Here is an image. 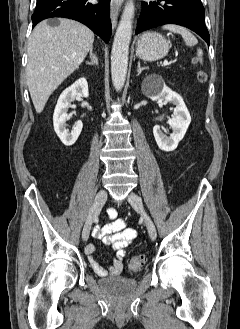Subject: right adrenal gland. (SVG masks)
Segmentation results:
<instances>
[{"instance_id":"2a0ac1e0","label":"right adrenal gland","mask_w":240,"mask_h":329,"mask_svg":"<svg viewBox=\"0 0 240 329\" xmlns=\"http://www.w3.org/2000/svg\"><path fill=\"white\" fill-rule=\"evenodd\" d=\"M90 62H86L87 65H98V59L96 55L93 53V47L90 49Z\"/></svg>"}]
</instances>
